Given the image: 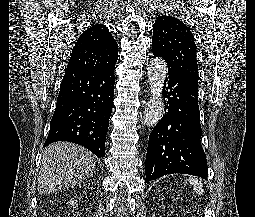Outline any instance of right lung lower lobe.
I'll list each match as a JSON object with an SVG mask.
<instances>
[{
	"instance_id": "1",
	"label": "right lung lower lobe",
	"mask_w": 255,
	"mask_h": 217,
	"mask_svg": "<svg viewBox=\"0 0 255 217\" xmlns=\"http://www.w3.org/2000/svg\"><path fill=\"white\" fill-rule=\"evenodd\" d=\"M115 65L96 71H65L44 146L70 141L98 158L105 141L114 96Z\"/></svg>"
}]
</instances>
